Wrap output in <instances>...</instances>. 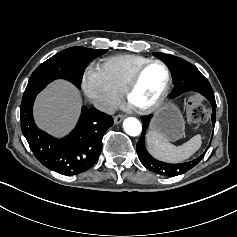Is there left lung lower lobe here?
<instances>
[{
	"mask_svg": "<svg viewBox=\"0 0 237 237\" xmlns=\"http://www.w3.org/2000/svg\"><path fill=\"white\" fill-rule=\"evenodd\" d=\"M211 103L212 105V123H213V126L215 125V114H216V101H215V98H214V93H211V94H208L207 96H205ZM211 145V143H210Z\"/></svg>",
	"mask_w": 237,
	"mask_h": 237,
	"instance_id": "obj_1",
	"label": "left lung lower lobe"
}]
</instances>
